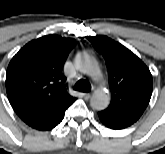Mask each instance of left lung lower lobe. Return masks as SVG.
<instances>
[{"instance_id": "left-lung-lower-lobe-1", "label": "left lung lower lobe", "mask_w": 165, "mask_h": 154, "mask_svg": "<svg viewBox=\"0 0 165 154\" xmlns=\"http://www.w3.org/2000/svg\"><path fill=\"white\" fill-rule=\"evenodd\" d=\"M98 116L101 122L111 129H123L133 124L128 121L111 117L103 112H98Z\"/></svg>"}]
</instances>
